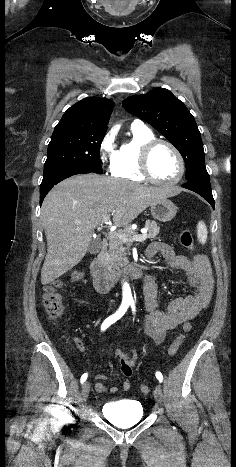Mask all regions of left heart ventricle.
<instances>
[{
    "mask_svg": "<svg viewBox=\"0 0 236 467\" xmlns=\"http://www.w3.org/2000/svg\"><path fill=\"white\" fill-rule=\"evenodd\" d=\"M153 175L162 181L174 180L180 171L179 161L174 152L165 145L157 146L150 160Z\"/></svg>",
    "mask_w": 236,
    "mask_h": 467,
    "instance_id": "1",
    "label": "left heart ventricle"
}]
</instances>
